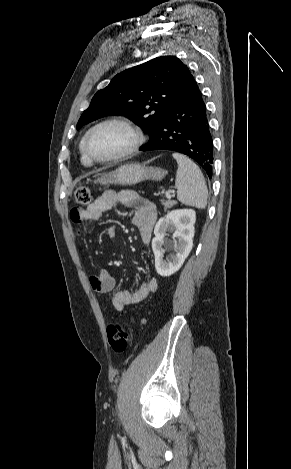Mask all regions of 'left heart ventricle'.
<instances>
[{"mask_svg": "<svg viewBox=\"0 0 291 469\" xmlns=\"http://www.w3.org/2000/svg\"><path fill=\"white\" fill-rule=\"evenodd\" d=\"M132 141L133 136L127 128L119 124H108L93 132L89 150L96 158H109L125 151Z\"/></svg>", "mask_w": 291, "mask_h": 469, "instance_id": "left-heart-ventricle-1", "label": "left heart ventricle"}]
</instances>
